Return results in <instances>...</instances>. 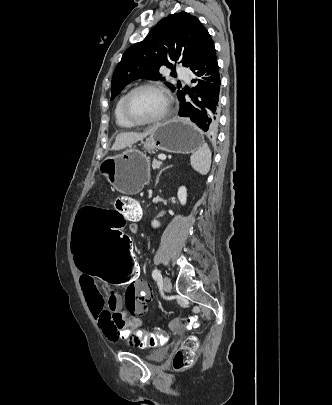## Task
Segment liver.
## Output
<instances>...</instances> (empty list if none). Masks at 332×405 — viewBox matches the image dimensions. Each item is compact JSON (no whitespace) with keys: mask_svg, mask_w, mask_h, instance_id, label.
Listing matches in <instances>:
<instances>
[{"mask_svg":"<svg viewBox=\"0 0 332 405\" xmlns=\"http://www.w3.org/2000/svg\"><path fill=\"white\" fill-rule=\"evenodd\" d=\"M157 126L149 127L143 132H123L118 134L114 144L111 147V150H122L127 146H131L132 144L138 142L139 140H143L148 135L152 134L156 130Z\"/></svg>","mask_w":332,"mask_h":405,"instance_id":"6515ba94","label":"liver"}]
</instances>
